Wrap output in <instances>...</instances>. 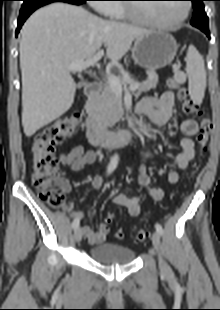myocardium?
I'll return each mask as SVG.
<instances>
[{
    "instance_id": "1",
    "label": "myocardium",
    "mask_w": 220,
    "mask_h": 310,
    "mask_svg": "<svg viewBox=\"0 0 220 310\" xmlns=\"http://www.w3.org/2000/svg\"><path fill=\"white\" fill-rule=\"evenodd\" d=\"M183 5H184V11L182 15L179 18L171 22H161V21L149 18V17H142L138 14L136 7L131 4L125 5L124 10H125L127 17L136 23L147 25L150 27L158 28V29H171V28L179 26L187 19L190 13V5L188 4V2H184Z\"/></svg>"
}]
</instances>
